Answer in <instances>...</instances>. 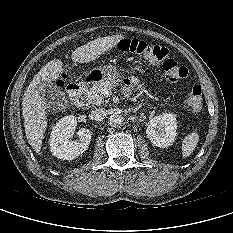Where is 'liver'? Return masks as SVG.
<instances>
[{"mask_svg": "<svg viewBox=\"0 0 233 233\" xmlns=\"http://www.w3.org/2000/svg\"><path fill=\"white\" fill-rule=\"evenodd\" d=\"M125 37L123 35H113L102 37L88 42L76 48L72 52L71 59L77 63H88L105 54L108 50L115 47ZM63 62L54 59L43 66L34 76L27 87L23 101L22 114L24 118V128L28 143L36 153L41 151L42 141L47 128L46 105L42 96L36 90V86L44 81H56L64 71Z\"/></svg>", "mask_w": 233, "mask_h": 233, "instance_id": "liver-1", "label": "liver"}]
</instances>
